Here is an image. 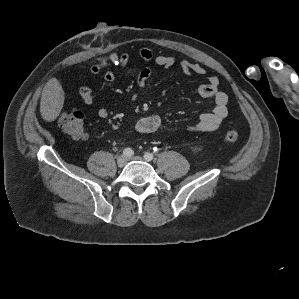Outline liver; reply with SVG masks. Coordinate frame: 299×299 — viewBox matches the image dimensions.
<instances>
[{"label":"liver","instance_id":"liver-1","mask_svg":"<svg viewBox=\"0 0 299 299\" xmlns=\"http://www.w3.org/2000/svg\"><path fill=\"white\" fill-rule=\"evenodd\" d=\"M65 96L62 85L55 77L48 80L42 91L40 113L45 121H54L60 114Z\"/></svg>","mask_w":299,"mask_h":299}]
</instances>
